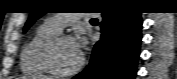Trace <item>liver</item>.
Here are the masks:
<instances>
[{
    "label": "liver",
    "instance_id": "1",
    "mask_svg": "<svg viewBox=\"0 0 177 79\" xmlns=\"http://www.w3.org/2000/svg\"><path fill=\"white\" fill-rule=\"evenodd\" d=\"M31 79H52L50 76H34Z\"/></svg>",
    "mask_w": 177,
    "mask_h": 79
}]
</instances>
